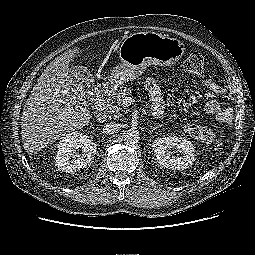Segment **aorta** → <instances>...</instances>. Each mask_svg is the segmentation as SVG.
Instances as JSON below:
<instances>
[{
  "label": "aorta",
  "instance_id": "1",
  "mask_svg": "<svg viewBox=\"0 0 255 255\" xmlns=\"http://www.w3.org/2000/svg\"><path fill=\"white\" fill-rule=\"evenodd\" d=\"M140 140V134L137 129H129L124 135V141L128 145H135Z\"/></svg>",
  "mask_w": 255,
  "mask_h": 255
}]
</instances>
